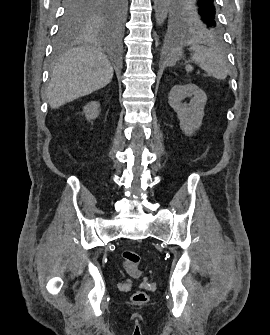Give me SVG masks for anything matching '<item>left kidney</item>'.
I'll list each match as a JSON object with an SVG mask.
<instances>
[{"mask_svg":"<svg viewBox=\"0 0 270 335\" xmlns=\"http://www.w3.org/2000/svg\"><path fill=\"white\" fill-rule=\"evenodd\" d=\"M187 96H194L190 104H182ZM168 102L176 112L180 120V128L186 136H192L195 130H199L204 118V106L207 102V96L203 90H200L195 84H186V86H173L169 92Z\"/></svg>","mask_w":270,"mask_h":335,"instance_id":"left-kidney-1","label":"left kidney"}]
</instances>
